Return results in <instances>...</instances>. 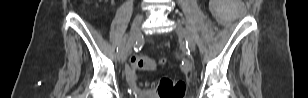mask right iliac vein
<instances>
[{"label":"right iliac vein","mask_w":308,"mask_h":98,"mask_svg":"<svg viewBox=\"0 0 308 98\" xmlns=\"http://www.w3.org/2000/svg\"><path fill=\"white\" fill-rule=\"evenodd\" d=\"M142 20H143V14L140 13L136 16V18L134 20V23H133V26H132V29H131V34H130V37H129V40H128V43H127L125 49L123 50V52L121 54H118V59L121 60V62L125 61L126 56L128 55L131 48L133 47L134 42L139 35V26H140Z\"/></svg>","instance_id":"obj_1"}]
</instances>
